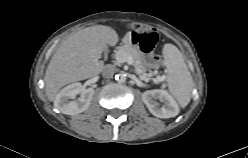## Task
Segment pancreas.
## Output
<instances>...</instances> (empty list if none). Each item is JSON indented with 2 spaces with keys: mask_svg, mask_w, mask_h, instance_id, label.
<instances>
[{
  "mask_svg": "<svg viewBox=\"0 0 248 158\" xmlns=\"http://www.w3.org/2000/svg\"><path fill=\"white\" fill-rule=\"evenodd\" d=\"M131 57L133 59L135 72L141 79H147L148 74L146 73L147 67H146V61L144 54L142 51L135 45L126 44L119 48V50L116 53V61L117 63L123 62V59ZM155 72H151L150 75H154ZM158 81H164V76H157Z\"/></svg>",
  "mask_w": 248,
  "mask_h": 158,
  "instance_id": "obj_1",
  "label": "pancreas"
}]
</instances>
